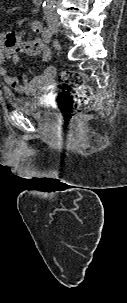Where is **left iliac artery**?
Segmentation results:
<instances>
[{
	"label": "left iliac artery",
	"instance_id": "obj_1",
	"mask_svg": "<svg viewBox=\"0 0 127 303\" xmlns=\"http://www.w3.org/2000/svg\"><path fill=\"white\" fill-rule=\"evenodd\" d=\"M43 7H44V12L47 13L48 10L52 9L54 7L53 4H50L48 2H44L43 3Z\"/></svg>",
	"mask_w": 127,
	"mask_h": 303
}]
</instances>
